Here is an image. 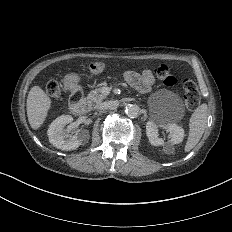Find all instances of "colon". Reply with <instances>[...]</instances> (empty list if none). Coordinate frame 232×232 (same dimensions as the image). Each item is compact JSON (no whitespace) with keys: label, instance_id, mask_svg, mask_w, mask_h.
Wrapping results in <instances>:
<instances>
[{"label":"colon","instance_id":"obj_1","mask_svg":"<svg viewBox=\"0 0 232 232\" xmlns=\"http://www.w3.org/2000/svg\"><path fill=\"white\" fill-rule=\"evenodd\" d=\"M87 73L90 76H99L103 72L101 68V61L92 62L86 65ZM153 71L159 83L166 87L178 86H189L186 90L187 94H181V99H186L187 106L184 107L185 111H198V107H202V102H200V97H195V94H201L203 91V86H191V81L188 77H181L180 81L176 75L171 74L164 63L157 62L153 66ZM56 81H47L46 84H42V89H45L46 94H51L49 99L50 103H58L57 97L61 96L59 87H56ZM47 114H53V109H47Z\"/></svg>","mask_w":232,"mask_h":232}]
</instances>
